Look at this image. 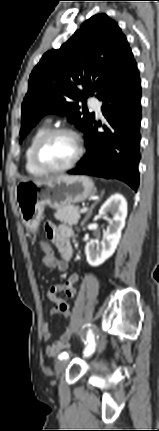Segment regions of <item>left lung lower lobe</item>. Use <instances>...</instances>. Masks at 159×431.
I'll list each match as a JSON object with an SVG mask.
<instances>
[{"instance_id":"left-lung-lower-lobe-1","label":"left lung lower lobe","mask_w":159,"mask_h":431,"mask_svg":"<svg viewBox=\"0 0 159 431\" xmlns=\"http://www.w3.org/2000/svg\"><path fill=\"white\" fill-rule=\"evenodd\" d=\"M106 123L93 121L86 132L87 152L69 174L119 179L139 186L141 82L135 60L102 99ZM102 126L103 132L97 127Z\"/></svg>"}]
</instances>
